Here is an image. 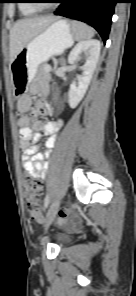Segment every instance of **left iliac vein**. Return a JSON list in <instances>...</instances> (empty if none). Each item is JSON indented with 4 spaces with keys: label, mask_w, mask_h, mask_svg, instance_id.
I'll return each instance as SVG.
<instances>
[{
    "label": "left iliac vein",
    "mask_w": 136,
    "mask_h": 296,
    "mask_svg": "<svg viewBox=\"0 0 136 296\" xmlns=\"http://www.w3.org/2000/svg\"><path fill=\"white\" fill-rule=\"evenodd\" d=\"M59 205H60V200L56 199L50 206L48 212H47V219H46V223H45V228H48L49 225L52 223V221L54 220L57 211L59 209Z\"/></svg>",
    "instance_id": "left-iliac-vein-1"
}]
</instances>
